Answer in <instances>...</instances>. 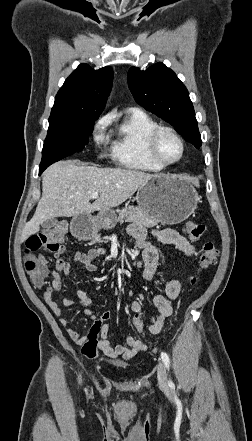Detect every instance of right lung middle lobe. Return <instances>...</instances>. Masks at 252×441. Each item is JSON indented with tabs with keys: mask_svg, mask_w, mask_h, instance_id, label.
<instances>
[{
	"mask_svg": "<svg viewBox=\"0 0 252 441\" xmlns=\"http://www.w3.org/2000/svg\"><path fill=\"white\" fill-rule=\"evenodd\" d=\"M96 119L90 116L51 114L40 167L47 168L56 161L82 151L93 132Z\"/></svg>",
	"mask_w": 252,
	"mask_h": 441,
	"instance_id": "right-lung-middle-lobe-1",
	"label": "right lung middle lobe"
}]
</instances>
